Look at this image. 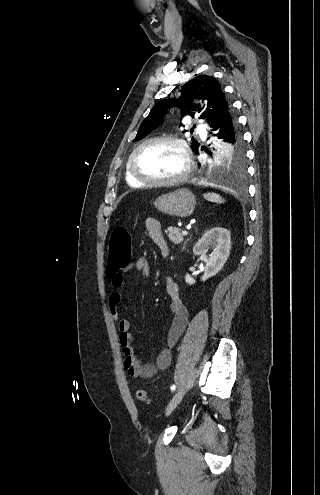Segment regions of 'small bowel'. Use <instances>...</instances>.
Wrapping results in <instances>:
<instances>
[{"mask_svg":"<svg viewBox=\"0 0 320 495\" xmlns=\"http://www.w3.org/2000/svg\"><path fill=\"white\" fill-rule=\"evenodd\" d=\"M145 227L150 238L162 250L167 251L160 222L154 218H147ZM136 270L143 276L148 277L151 272L150 262L146 258H139L133 265H129L123 271L109 273L111 284L114 288H119L123 284V273ZM166 291L171 298L170 311L172 315L171 325L166 335V344L158 353L154 363H141L136 357L133 347V336L130 332V322L119 318V305L121 303V293L113 291L109 296L108 307L112 318L118 325V341L125 355L124 367L133 378L148 379L153 377L158 371L169 367L172 359V348L184 332L188 321V310L185 302L179 295L177 283L171 276L165 280Z\"/></svg>","mask_w":320,"mask_h":495,"instance_id":"small-bowel-1","label":"small bowel"}]
</instances>
